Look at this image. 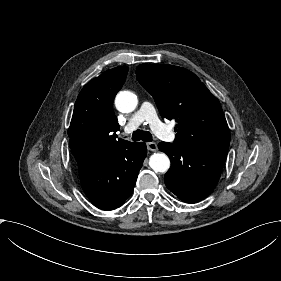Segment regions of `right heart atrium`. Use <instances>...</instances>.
I'll return each instance as SVG.
<instances>
[{"label":"right heart atrium","instance_id":"d8ad5b80","mask_svg":"<svg viewBox=\"0 0 281 281\" xmlns=\"http://www.w3.org/2000/svg\"><path fill=\"white\" fill-rule=\"evenodd\" d=\"M115 104L116 106L119 104L125 108H128L129 106V96L126 92L120 91L115 98Z\"/></svg>","mask_w":281,"mask_h":281}]
</instances>
